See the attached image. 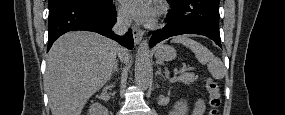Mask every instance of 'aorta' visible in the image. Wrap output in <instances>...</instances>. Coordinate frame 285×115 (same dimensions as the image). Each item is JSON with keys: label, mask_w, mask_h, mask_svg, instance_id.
<instances>
[{"label": "aorta", "mask_w": 285, "mask_h": 115, "mask_svg": "<svg viewBox=\"0 0 285 115\" xmlns=\"http://www.w3.org/2000/svg\"><path fill=\"white\" fill-rule=\"evenodd\" d=\"M135 81L142 89H147L151 82L150 51L147 39L141 42L136 54Z\"/></svg>", "instance_id": "762f6f07"}]
</instances>
